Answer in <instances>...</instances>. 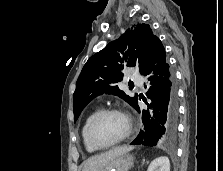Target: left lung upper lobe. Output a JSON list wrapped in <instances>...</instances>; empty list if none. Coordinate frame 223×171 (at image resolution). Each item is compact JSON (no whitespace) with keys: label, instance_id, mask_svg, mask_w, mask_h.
Returning <instances> with one entry per match:
<instances>
[{"label":"left lung upper lobe","instance_id":"5c2ea615","mask_svg":"<svg viewBox=\"0 0 223 171\" xmlns=\"http://www.w3.org/2000/svg\"><path fill=\"white\" fill-rule=\"evenodd\" d=\"M158 41L149 25L137 24L90 57L79 75L73 94L74 121L93 98L105 92L119 96L135 108L138 96L129 97L114 84L122 81L125 65L131 67L138 62L143 74Z\"/></svg>","mask_w":223,"mask_h":171}]
</instances>
